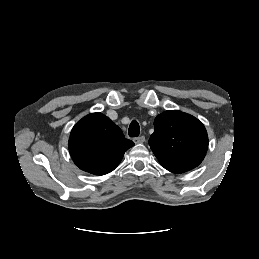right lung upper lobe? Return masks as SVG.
<instances>
[{
  "label": "right lung upper lobe",
  "instance_id": "cb5924a9",
  "mask_svg": "<svg viewBox=\"0 0 259 259\" xmlns=\"http://www.w3.org/2000/svg\"><path fill=\"white\" fill-rule=\"evenodd\" d=\"M133 145L122 130L101 113L89 114L76 123L68 142L74 163L94 175L114 170Z\"/></svg>",
  "mask_w": 259,
  "mask_h": 259
}]
</instances>
